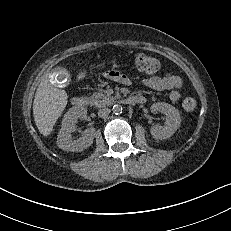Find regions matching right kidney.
<instances>
[{
    "label": "right kidney",
    "mask_w": 231,
    "mask_h": 231,
    "mask_svg": "<svg viewBox=\"0 0 231 231\" xmlns=\"http://www.w3.org/2000/svg\"><path fill=\"white\" fill-rule=\"evenodd\" d=\"M85 115L86 112L78 108H71L64 115L62 127L57 138V145L60 149L81 152L92 145L95 136V128L93 127L84 130L77 140H73L71 136V133L75 131V123L78 119L84 118Z\"/></svg>",
    "instance_id": "1"
}]
</instances>
